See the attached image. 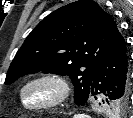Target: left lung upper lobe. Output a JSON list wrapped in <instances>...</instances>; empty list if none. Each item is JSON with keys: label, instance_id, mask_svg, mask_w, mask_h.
Returning a JSON list of instances; mask_svg holds the SVG:
<instances>
[{"label": "left lung upper lobe", "instance_id": "1", "mask_svg": "<svg viewBox=\"0 0 133 118\" xmlns=\"http://www.w3.org/2000/svg\"><path fill=\"white\" fill-rule=\"evenodd\" d=\"M119 34L116 22L96 2L79 0L44 18L28 35L13 59L5 80L9 85L20 76L43 71L70 75L77 105L87 101L95 68ZM109 113L119 114L129 97L99 101Z\"/></svg>", "mask_w": 133, "mask_h": 118}]
</instances>
